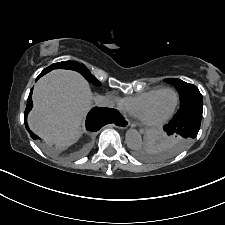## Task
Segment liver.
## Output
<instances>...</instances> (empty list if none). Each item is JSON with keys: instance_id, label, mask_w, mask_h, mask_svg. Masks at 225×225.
Masks as SVG:
<instances>
[{"instance_id": "obj_1", "label": "liver", "mask_w": 225, "mask_h": 225, "mask_svg": "<svg viewBox=\"0 0 225 225\" xmlns=\"http://www.w3.org/2000/svg\"><path fill=\"white\" fill-rule=\"evenodd\" d=\"M92 99L89 84L79 73L53 70L35 85L30 129L60 147L70 146L80 137Z\"/></svg>"}]
</instances>
